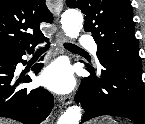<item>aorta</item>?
I'll return each mask as SVG.
<instances>
[{
	"label": "aorta",
	"mask_w": 145,
	"mask_h": 124,
	"mask_svg": "<svg viewBox=\"0 0 145 124\" xmlns=\"http://www.w3.org/2000/svg\"><path fill=\"white\" fill-rule=\"evenodd\" d=\"M62 29L69 38H77L83 27V16L81 12L70 9L66 10L61 17ZM82 110L79 106L69 107L59 118L57 124H79Z\"/></svg>",
	"instance_id": "obj_1"
}]
</instances>
